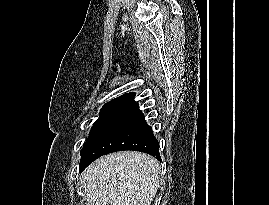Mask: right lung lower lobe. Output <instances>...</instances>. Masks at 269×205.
Here are the masks:
<instances>
[{
	"mask_svg": "<svg viewBox=\"0 0 269 205\" xmlns=\"http://www.w3.org/2000/svg\"><path fill=\"white\" fill-rule=\"evenodd\" d=\"M124 150L145 152L161 161L159 143L137 105L116 116L85 147L79 171L102 155Z\"/></svg>",
	"mask_w": 269,
	"mask_h": 205,
	"instance_id": "98d812e1",
	"label": "right lung lower lobe"
}]
</instances>
